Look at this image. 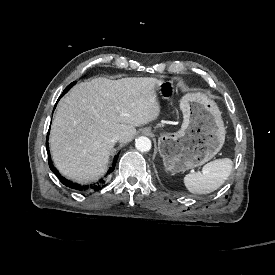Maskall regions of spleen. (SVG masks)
Listing matches in <instances>:
<instances>
[{
  "label": "spleen",
  "instance_id": "1",
  "mask_svg": "<svg viewBox=\"0 0 275 275\" xmlns=\"http://www.w3.org/2000/svg\"><path fill=\"white\" fill-rule=\"evenodd\" d=\"M233 162L229 158L217 159L203 166L202 172L184 177V184L193 194H208L217 190L230 176Z\"/></svg>",
  "mask_w": 275,
  "mask_h": 275
}]
</instances>
